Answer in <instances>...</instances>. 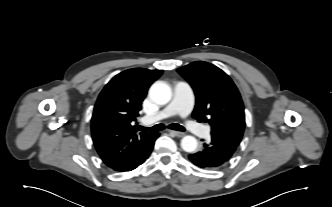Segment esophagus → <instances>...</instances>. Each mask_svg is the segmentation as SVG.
<instances>
[{"label":"esophagus","instance_id":"1","mask_svg":"<svg viewBox=\"0 0 332 207\" xmlns=\"http://www.w3.org/2000/svg\"><path fill=\"white\" fill-rule=\"evenodd\" d=\"M170 133H172L176 137H183L185 134L183 132L169 130Z\"/></svg>","mask_w":332,"mask_h":207}]
</instances>
